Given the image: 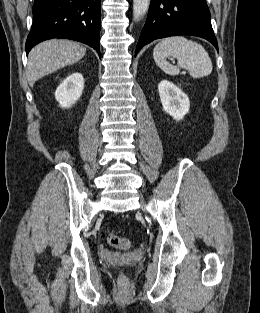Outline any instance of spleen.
Masks as SVG:
<instances>
[{
    "label": "spleen",
    "mask_w": 260,
    "mask_h": 313,
    "mask_svg": "<svg viewBox=\"0 0 260 313\" xmlns=\"http://www.w3.org/2000/svg\"><path fill=\"white\" fill-rule=\"evenodd\" d=\"M177 59V65H171L166 58ZM156 64L168 75H178L180 69H186L194 79L205 77L212 72V61L202 45L183 36L162 39L153 50Z\"/></svg>",
    "instance_id": "obj_1"
}]
</instances>
